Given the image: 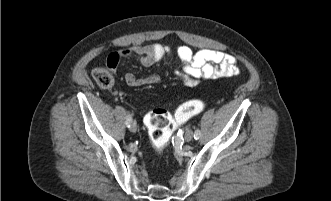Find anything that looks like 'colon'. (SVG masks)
Returning a JSON list of instances; mask_svg holds the SVG:
<instances>
[{"label": "colon", "instance_id": "obj_1", "mask_svg": "<svg viewBox=\"0 0 331 201\" xmlns=\"http://www.w3.org/2000/svg\"><path fill=\"white\" fill-rule=\"evenodd\" d=\"M93 78L104 89L110 88L113 84L110 67L95 69ZM203 108L204 103L202 101L191 100L181 105L174 115L164 109H155L149 112L145 117V125L154 149L162 151L168 145L175 129Z\"/></svg>", "mask_w": 331, "mask_h": 201}]
</instances>
